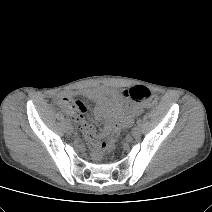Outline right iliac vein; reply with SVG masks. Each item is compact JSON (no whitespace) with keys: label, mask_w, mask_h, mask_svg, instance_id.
<instances>
[{"label":"right iliac vein","mask_w":212,"mask_h":212,"mask_svg":"<svg viewBox=\"0 0 212 212\" xmlns=\"http://www.w3.org/2000/svg\"><path fill=\"white\" fill-rule=\"evenodd\" d=\"M67 132H68L69 134L73 133V127H72L71 125H68V127H67Z\"/></svg>","instance_id":"1"}]
</instances>
